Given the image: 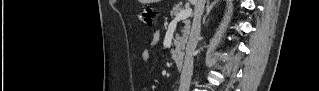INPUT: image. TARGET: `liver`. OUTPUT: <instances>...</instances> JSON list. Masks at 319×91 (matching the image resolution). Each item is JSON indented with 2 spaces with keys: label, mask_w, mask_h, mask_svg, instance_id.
<instances>
[{
  "label": "liver",
  "mask_w": 319,
  "mask_h": 91,
  "mask_svg": "<svg viewBox=\"0 0 319 91\" xmlns=\"http://www.w3.org/2000/svg\"><path fill=\"white\" fill-rule=\"evenodd\" d=\"M191 2V4H194L196 3V0H189Z\"/></svg>",
  "instance_id": "1"
}]
</instances>
